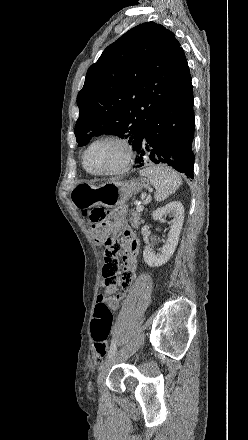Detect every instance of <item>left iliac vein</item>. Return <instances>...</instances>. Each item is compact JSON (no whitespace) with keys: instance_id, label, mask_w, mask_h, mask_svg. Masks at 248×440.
I'll return each instance as SVG.
<instances>
[{"instance_id":"obj_1","label":"left iliac vein","mask_w":248,"mask_h":440,"mask_svg":"<svg viewBox=\"0 0 248 440\" xmlns=\"http://www.w3.org/2000/svg\"><path fill=\"white\" fill-rule=\"evenodd\" d=\"M144 334L141 333L139 334L134 341L131 342V344L120 350L119 352L113 354L112 356L108 357V359L100 366L99 368V374H98V378H97V382L98 385L101 386L104 378L107 376L110 368L119 362H123L125 360H127L132 354H134L139 347L143 344L144 342Z\"/></svg>"}]
</instances>
